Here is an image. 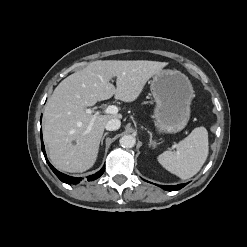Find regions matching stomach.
Listing matches in <instances>:
<instances>
[{"label": "stomach", "mask_w": 247, "mask_h": 247, "mask_svg": "<svg viewBox=\"0 0 247 247\" xmlns=\"http://www.w3.org/2000/svg\"><path fill=\"white\" fill-rule=\"evenodd\" d=\"M151 92L156 102L155 125L164 133H177L190 119L194 90L188 77L178 70L164 69L154 75Z\"/></svg>", "instance_id": "0dacf381"}]
</instances>
